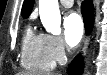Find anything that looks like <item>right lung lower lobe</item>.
<instances>
[{"mask_svg":"<svg viewBox=\"0 0 107 75\" xmlns=\"http://www.w3.org/2000/svg\"><path fill=\"white\" fill-rule=\"evenodd\" d=\"M81 12L84 19L86 32L89 33L93 25V5L90 0L83 1ZM69 75H80L82 73V58L78 55L68 67Z\"/></svg>","mask_w":107,"mask_h":75,"instance_id":"1","label":"right lung lower lobe"}]
</instances>
